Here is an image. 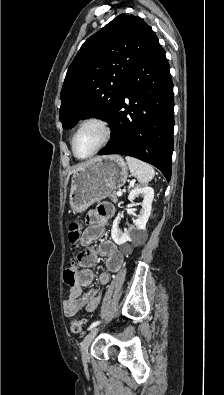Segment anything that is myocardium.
Returning a JSON list of instances; mask_svg holds the SVG:
<instances>
[{
    "mask_svg": "<svg viewBox=\"0 0 224 395\" xmlns=\"http://www.w3.org/2000/svg\"><path fill=\"white\" fill-rule=\"evenodd\" d=\"M89 125H95L97 127L100 128L101 133H102V138L101 141L99 142V144L97 145V147L94 149V151L92 153H90L88 156L86 157H79L76 154L75 151V140L77 135L87 126ZM111 135H112V129H111V125L109 124V122L107 120H105L102 117L99 116H90L87 117L85 119H83L77 129L75 130L72 139H71V148H72V152L75 158L79 159V160H87L89 158H92L94 155H96L99 151H101L110 141L111 139Z\"/></svg>",
    "mask_w": 224,
    "mask_h": 395,
    "instance_id": "obj_1",
    "label": "myocardium"
}]
</instances>
